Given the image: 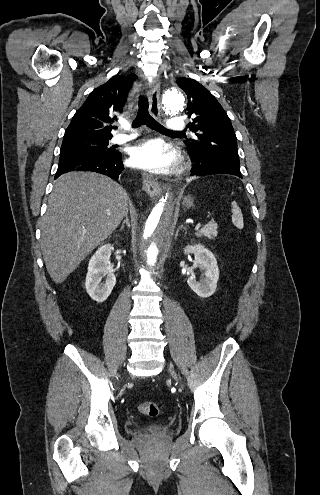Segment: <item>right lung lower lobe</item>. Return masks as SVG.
I'll return each mask as SVG.
<instances>
[{
    "label": "right lung lower lobe",
    "mask_w": 320,
    "mask_h": 495,
    "mask_svg": "<svg viewBox=\"0 0 320 495\" xmlns=\"http://www.w3.org/2000/svg\"><path fill=\"white\" fill-rule=\"evenodd\" d=\"M121 153L112 151L109 154H61L55 179L69 171H92L117 180L123 171Z\"/></svg>",
    "instance_id": "right-lung-lower-lobe-1"
}]
</instances>
